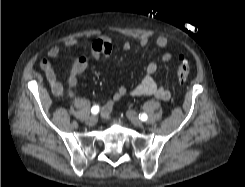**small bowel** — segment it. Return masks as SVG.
I'll return each instance as SVG.
<instances>
[{
  "mask_svg": "<svg viewBox=\"0 0 245 187\" xmlns=\"http://www.w3.org/2000/svg\"><path fill=\"white\" fill-rule=\"evenodd\" d=\"M139 43L141 46H146L149 43V37L142 35L139 38ZM77 44L75 39H69L65 42L67 48H71ZM168 45V39L165 36H159L156 39V46L158 48H165ZM124 50H129L131 45L128 41H125L122 45ZM113 51V41L109 37H100L93 41L90 46V56L93 58H103L107 61L108 65L114 69L115 66L111 61L110 57ZM61 50L58 46H53L48 50V58H43L40 63V69L43 71L47 82L51 88L52 93L55 96H61L64 94V87L58 81L56 73L52 67V63L49 58H56L59 56ZM174 57V54L170 51L164 52L160 55L157 60L151 61L146 67V74L143 79L135 86L127 88L125 86L116 87L109 100L102 106V113L105 117H108L114 104L124 95L130 94L133 96H153L157 99L168 101L171 99V92L158 85L154 80L153 75L158 69L159 63L168 62ZM89 65V57L81 56L77 58L71 65L68 77L67 86L69 95L73 96L76 94L75 88L78 83V78Z\"/></svg>",
  "mask_w": 245,
  "mask_h": 187,
  "instance_id": "c3829d8e",
  "label": "small bowel"
}]
</instances>
